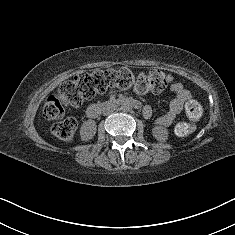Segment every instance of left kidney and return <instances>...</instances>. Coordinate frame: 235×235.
Wrapping results in <instances>:
<instances>
[{
    "instance_id": "obj_1",
    "label": "left kidney",
    "mask_w": 235,
    "mask_h": 235,
    "mask_svg": "<svg viewBox=\"0 0 235 235\" xmlns=\"http://www.w3.org/2000/svg\"><path fill=\"white\" fill-rule=\"evenodd\" d=\"M154 133H155V136L159 138L160 140H165L167 137V130L165 128L155 127Z\"/></svg>"
}]
</instances>
